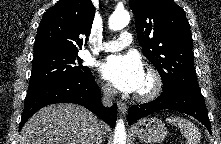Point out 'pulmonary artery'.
<instances>
[{
    "label": "pulmonary artery",
    "instance_id": "e3ab8cb5",
    "mask_svg": "<svg viewBox=\"0 0 221 144\" xmlns=\"http://www.w3.org/2000/svg\"><path fill=\"white\" fill-rule=\"evenodd\" d=\"M131 41V34L127 31H124L120 34L118 39L104 42L101 45V49L105 52H116L129 46Z\"/></svg>",
    "mask_w": 221,
    "mask_h": 144
}]
</instances>
